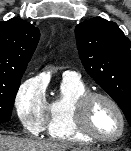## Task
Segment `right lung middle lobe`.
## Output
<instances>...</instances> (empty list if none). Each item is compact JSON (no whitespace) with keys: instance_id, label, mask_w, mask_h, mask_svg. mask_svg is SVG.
<instances>
[{"instance_id":"dd1d6c3e","label":"right lung middle lobe","mask_w":131,"mask_h":151,"mask_svg":"<svg viewBox=\"0 0 131 151\" xmlns=\"http://www.w3.org/2000/svg\"><path fill=\"white\" fill-rule=\"evenodd\" d=\"M21 77L0 76V122L9 121L15 97L21 83Z\"/></svg>"}]
</instances>
